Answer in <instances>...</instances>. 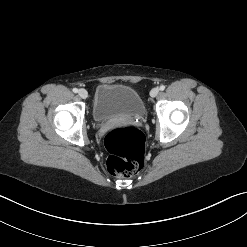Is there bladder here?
<instances>
[{"instance_id":"bladder-1","label":"bladder","mask_w":247,"mask_h":247,"mask_svg":"<svg viewBox=\"0 0 247 247\" xmlns=\"http://www.w3.org/2000/svg\"><path fill=\"white\" fill-rule=\"evenodd\" d=\"M145 105L139 93L122 84H100L95 91L92 117L96 122L116 118H141Z\"/></svg>"}]
</instances>
